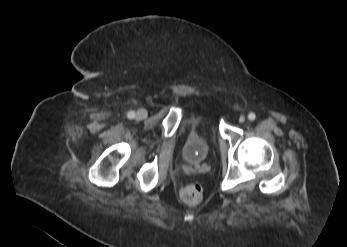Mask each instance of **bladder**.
Here are the masks:
<instances>
[{"instance_id": "obj_1", "label": "bladder", "mask_w": 347, "mask_h": 247, "mask_svg": "<svg viewBox=\"0 0 347 247\" xmlns=\"http://www.w3.org/2000/svg\"><path fill=\"white\" fill-rule=\"evenodd\" d=\"M183 158L190 164L203 163L217 141L218 121L208 111L193 112L186 120Z\"/></svg>"}]
</instances>
